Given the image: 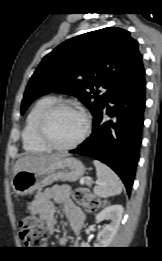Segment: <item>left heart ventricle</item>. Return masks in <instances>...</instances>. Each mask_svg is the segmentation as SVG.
I'll list each match as a JSON object with an SVG mask.
<instances>
[{
	"mask_svg": "<svg viewBox=\"0 0 162 261\" xmlns=\"http://www.w3.org/2000/svg\"><path fill=\"white\" fill-rule=\"evenodd\" d=\"M84 128L83 117L76 111L62 109L52 115L47 130L50 139L59 145L76 140Z\"/></svg>",
	"mask_w": 162,
	"mask_h": 261,
	"instance_id": "b2bd125f",
	"label": "left heart ventricle"
}]
</instances>
